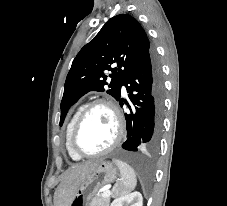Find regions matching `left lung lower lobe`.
<instances>
[{
	"label": "left lung lower lobe",
	"instance_id": "1",
	"mask_svg": "<svg viewBox=\"0 0 227 206\" xmlns=\"http://www.w3.org/2000/svg\"><path fill=\"white\" fill-rule=\"evenodd\" d=\"M131 104L118 99L121 106L128 104L125 113L127 140L122 148L128 151H154L162 128L164 83L161 68L153 50L124 78Z\"/></svg>",
	"mask_w": 227,
	"mask_h": 206
}]
</instances>
